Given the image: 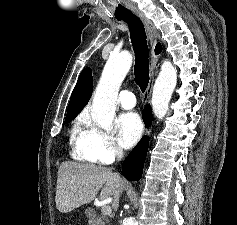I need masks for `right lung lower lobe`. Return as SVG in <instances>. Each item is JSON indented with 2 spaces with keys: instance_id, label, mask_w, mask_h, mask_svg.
I'll list each match as a JSON object with an SVG mask.
<instances>
[{
  "instance_id": "1",
  "label": "right lung lower lobe",
  "mask_w": 237,
  "mask_h": 225,
  "mask_svg": "<svg viewBox=\"0 0 237 225\" xmlns=\"http://www.w3.org/2000/svg\"><path fill=\"white\" fill-rule=\"evenodd\" d=\"M143 120L146 127L151 125L152 111L149 105H147L143 111ZM148 146L149 139L147 136H144L123 162L122 172L129 181L140 180Z\"/></svg>"
}]
</instances>
